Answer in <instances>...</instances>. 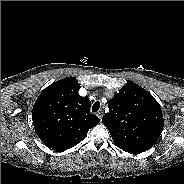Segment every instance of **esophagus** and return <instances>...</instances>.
I'll return each mask as SVG.
<instances>
[{"label": "esophagus", "mask_w": 184, "mask_h": 184, "mask_svg": "<svg viewBox=\"0 0 184 184\" xmlns=\"http://www.w3.org/2000/svg\"><path fill=\"white\" fill-rule=\"evenodd\" d=\"M97 116L99 117V119H101L103 116V110L98 111Z\"/></svg>", "instance_id": "esophagus-1"}]
</instances>
